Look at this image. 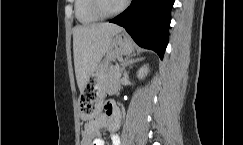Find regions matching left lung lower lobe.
<instances>
[{
	"label": "left lung lower lobe",
	"mask_w": 243,
	"mask_h": 145,
	"mask_svg": "<svg viewBox=\"0 0 243 145\" xmlns=\"http://www.w3.org/2000/svg\"><path fill=\"white\" fill-rule=\"evenodd\" d=\"M173 3L174 0H132L110 22L124 27L139 46L154 50L162 59L168 44Z\"/></svg>",
	"instance_id": "obj_1"
}]
</instances>
